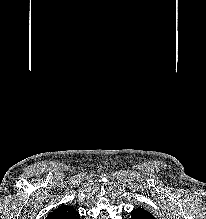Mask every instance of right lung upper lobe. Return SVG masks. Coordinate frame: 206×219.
Segmentation results:
<instances>
[{
  "label": "right lung upper lobe",
  "instance_id": "obj_1",
  "mask_svg": "<svg viewBox=\"0 0 206 219\" xmlns=\"http://www.w3.org/2000/svg\"><path fill=\"white\" fill-rule=\"evenodd\" d=\"M46 219H80V217L72 206L62 205L49 213Z\"/></svg>",
  "mask_w": 206,
  "mask_h": 219
}]
</instances>
